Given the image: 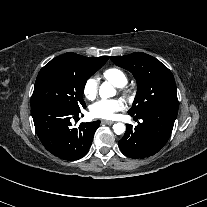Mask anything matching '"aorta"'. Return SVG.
Returning <instances> with one entry per match:
<instances>
[{
    "instance_id": "762f6f07",
    "label": "aorta",
    "mask_w": 207,
    "mask_h": 207,
    "mask_svg": "<svg viewBox=\"0 0 207 207\" xmlns=\"http://www.w3.org/2000/svg\"><path fill=\"white\" fill-rule=\"evenodd\" d=\"M116 94V90L113 88V86L108 83L104 82L101 84L99 89V95L101 98L105 99L108 97H113ZM113 130L117 135H121L125 132L126 127L123 123H116L113 125Z\"/></svg>"
}]
</instances>
